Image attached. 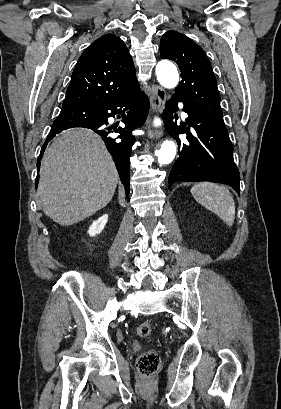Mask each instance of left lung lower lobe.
Returning a JSON list of instances; mask_svg holds the SVG:
<instances>
[{"label":"left lung lower lobe","mask_w":281,"mask_h":409,"mask_svg":"<svg viewBox=\"0 0 281 409\" xmlns=\"http://www.w3.org/2000/svg\"><path fill=\"white\" fill-rule=\"evenodd\" d=\"M178 101L181 100L174 95L163 112L166 129L173 127L169 131L178 143L179 154L169 176V187L179 180L213 181L228 184L239 193V171L233 160V146L224 121L184 103L183 110L188 114L185 125L188 127L182 125L181 128L173 122ZM181 132H186V138L178 137Z\"/></svg>","instance_id":"0a47b994"}]
</instances>
